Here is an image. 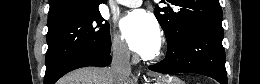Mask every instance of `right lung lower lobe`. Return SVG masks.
Returning a JSON list of instances; mask_svg holds the SVG:
<instances>
[{"mask_svg": "<svg viewBox=\"0 0 260 84\" xmlns=\"http://www.w3.org/2000/svg\"><path fill=\"white\" fill-rule=\"evenodd\" d=\"M110 54L97 52H82L72 55L63 60L52 72L45 73L44 84H54L66 73L81 67L98 66L104 67L111 63Z\"/></svg>", "mask_w": 260, "mask_h": 84, "instance_id": "obj_1", "label": "right lung lower lobe"}]
</instances>
